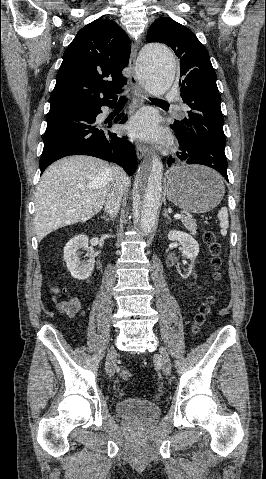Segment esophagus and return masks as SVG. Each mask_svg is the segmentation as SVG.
<instances>
[{"label":"esophagus","instance_id":"esophagus-1","mask_svg":"<svg viewBox=\"0 0 266 479\" xmlns=\"http://www.w3.org/2000/svg\"><path fill=\"white\" fill-rule=\"evenodd\" d=\"M139 44H140L139 40H136L132 44L130 59H129V63H128V67L131 70V75L129 77V82H130V85L133 89L135 97L138 100L143 101L144 98H145L144 89L141 87L140 83L137 80V76L135 74V60H136V55H137V50H138ZM136 152H137V157H138L139 160H141L144 156H148L150 154V151H149L148 147H146L145 145L139 144V143L136 144Z\"/></svg>","mask_w":266,"mask_h":479}]
</instances>
